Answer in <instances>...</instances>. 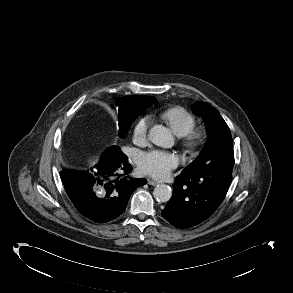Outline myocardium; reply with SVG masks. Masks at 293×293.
<instances>
[{
	"label": "myocardium",
	"instance_id": "f54148a6",
	"mask_svg": "<svg viewBox=\"0 0 293 293\" xmlns=\"http://www.w3.org/2000/svg\"><path fill=\"white\" fill-rule=\"evenodd\" d=\"M206 138V131L202 128L192 129L189 133L184 135L183 144L189 149H196L200 147Z\"/></svg>",
	"mask_w": 293,
	"mask_h": 293
}]
</instances>
